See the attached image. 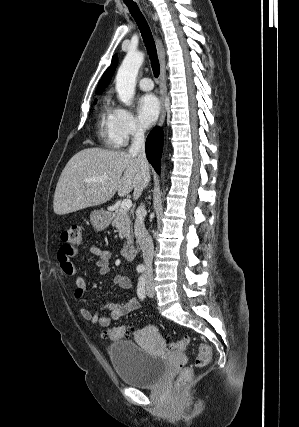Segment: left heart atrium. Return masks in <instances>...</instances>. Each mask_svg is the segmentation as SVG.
Instances as JSON below:
<instances>
[{"label":"left heart atrium","mask_w":299,"mask_h":427,"mask_svg":"<svg viewBox=\"0 0 299 427\" xmlns=\"http://www.w3.org/2000/svg\"><path fill=\"white\" fill-rule=\"evenodd\" d=\"M160 112V103L153 94L143 95L137 103V116L140 124L148 128L158 118Z\"/></svg>","instance_id":"39dd6f15"}]
</instances>
